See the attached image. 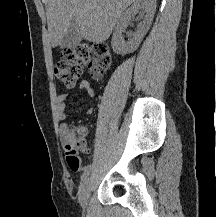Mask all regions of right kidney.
Masks as SVG:
<instances>
[{"mask_svg":"<svg viewBox=\"0 0 216 217\" xmlns=\"http://www.w3.org/2000/svg\"><path fill=\"white\" fill-rule=\"evenodd\" d=\"M141 11L145 13L143 21L137 26V32L133 35V38L128 42H125L122 33L127 28L129 21ZM156 11V0H135V2L129 7L119 18L115 31L112 37V48L116 54L125 55L132 53L137 49L141 43L144 35L150 28Z\"/></svg>","mask_w":216,"mask_h":217,"instance_id":"right-kidney-1","label":"right kidney"}]
</instances>
